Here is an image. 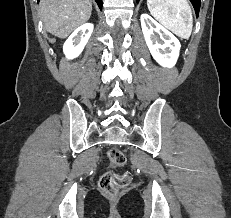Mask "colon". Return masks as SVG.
<instances>
[{
  "label": "colon",
  "mask_w": 231,
  "mask_h": 218,
  "mask_svg": "<svg viewBox=\"0 0 231 218\" xmlns=\"http://www.w3.org/2000/svg\"><path fill=\"white\" fill-rule=\"evenodd\" d=\"M107 156L113 166H122L126 162L124 153L118 148H111ZM129 182L128 174L118 175L114 172H106L99 179V187L107 195L116 196Z\"/></svg>",
  "instance_id": "colon-1"
}]
</instances>
